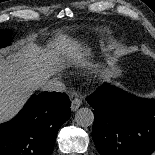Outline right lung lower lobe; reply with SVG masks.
Listing matches in <instances>:
<instances>
[{
  "label": "right lung lower lobe",
  "mask_w": 155,
  "mask_h": 155,
  "mask_svg": "<svg viewBox=\"0 0 155 155\" xmlns=\"http://www.w3.org/2000/svg\"><path fill=\"white\" fill-rule=\"evenodd\" d=\"M70 105L65 93L31 96L15 118L0 124V155H50Z\"/></svg>",
  "instance_id": "obj_1"
}]
</instances>
